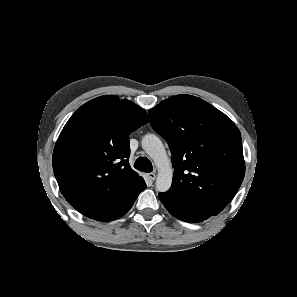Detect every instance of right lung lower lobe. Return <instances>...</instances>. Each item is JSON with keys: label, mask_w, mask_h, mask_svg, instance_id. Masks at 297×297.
<instances>
[{"label": "right lung lower lobe", "mask_w": 297, "mask_h": 297, "mask_svg": "<svg viewBox=\"0 0 297 297\" xmlns=\"http://www.w3.org/2000/svg\"><path fill=\"white\" fill-rule=\"evenodd\" d=\"M146 188V184H142L140 188L126 201V203L107 221L115 220L120 217H122L125 213L129 211V209L132 207L134 201L136 200L137 196L141 191H143Z\"/></svg>", "instance_id": "right-lung-lower-lobe-1"}]
</instances>
